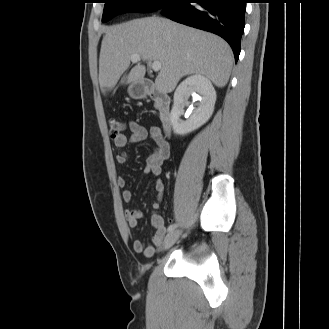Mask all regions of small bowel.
<instances>
[{
  "label": "small bowel",
  "instance_id": "small-bowel-1",
  "mask_svg": "<svg viewBox=\"0 0 329 329\" xmlns=\"http://www.w3.org/2000/svg\"><path fill=\"white\" fill-rule=\"evenodd\" d=\"M130 135H121L113 138V143L119 150L116 160L119 164H125L128 161L129 153L126 148L132 144L141 142L150 137L155 142L154 152L146 159L144 172L149 175L158 177L155 182V199L153 208L158 209L161 205L165 185L160 175L162 174L163 162L170 155V147L168 142L163 137L161 128L157 125L145 126L139 122L131 121L129 123ZM118 185L123 189L122 199L128 203L132 200V192L126 187V179L118 178ZM143 217V212L139 209H127L125 211V219L130 228H135L138 222ZM151 224L155 229L154 235L149 244H145L140 240L133 243V249L137 253H141L145 258H151L157 251L164 247V238L166 228L162 216L158 212H153L151 215Z\"/></svg>",
  "mask_w": 329,
  "mask_h": 329
}]
</instances>
